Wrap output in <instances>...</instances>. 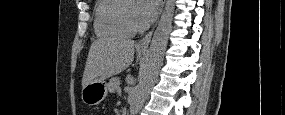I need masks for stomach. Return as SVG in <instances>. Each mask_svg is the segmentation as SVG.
I'll use <instances>...</instances> for the list:
<instances>
[{
	"label": "stomach",
	"mask_w": 285,
	"mask_h": 115,
	"mask_svg": "<svg viewBox=\"0 0 285 115\" xmlns=\"http://www.w3.org/2000/svg\"><path fill=\"white\" fill-rule=\"evenodd\" d=\"M144 53V51H140ZM107 96V84L105 81H94L82 88L81 98L88 106H95Z\"/></svg>",
	"instance_id": "1"
}]
</instances>
